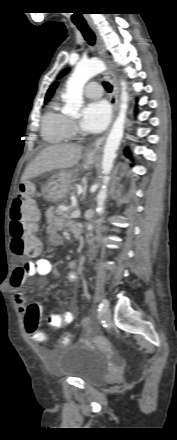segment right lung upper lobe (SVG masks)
Segmentation results:
<instances>
[{
	"mask_svg": "<svg viewBox=\"0 0 177 440\" xmlns=\"http://www.w3.org/2000/svg\"><path fill=\"white\" fill-rule=\"evenodd\" d=\"M56 86H57V84H55L54 86H52V87L48 90V92L46 93V96H45V102H47V101L52 97V95H53V93H54V89L56 88Z\"/></svg>",
	"mask_w": 177,
	"mask_h": 440,
	"instance_id": "obj_1",
	"label": "right lung upper lobe"
}]
</instances>
